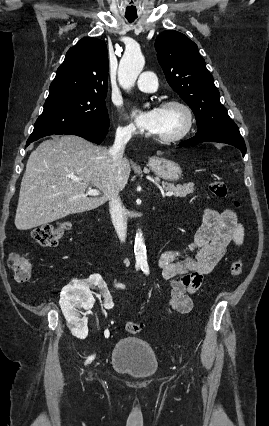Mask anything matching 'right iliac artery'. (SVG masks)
Instances as JSON below:
<instances>
[{"mask_svg": "<svg viewBox=\"0 0 269 426\" xmlns=\"http://www.w3.org/2000/svg\"><path fill=\"white\" fill-rule=\"evenodd\" d=\"M93 359H94V355L89 356L88 359L86 360L85 364L90 363Z\"/></svg>", "mask_w": 269, "mask_h": 426, "instance_id": "1", "label": "right iliac artery"}]
</instances>
